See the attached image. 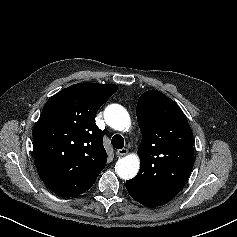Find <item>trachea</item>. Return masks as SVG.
<instances>
[{"instance_id": "1", "label": "trachea", "mask_w": 237, "mask_h": 237, "mask_svg": "<svg viewBox=\"0 0 237 237\" xmlns=\"http://www.w3.org/2000/svg\"><path fill=\"white\" fill-rule=\"evenodd\" d=\"M111 144L116 149H122L124 147V138L121 135L116 134L112 137Z\"/></svg>"}]
</instances>
